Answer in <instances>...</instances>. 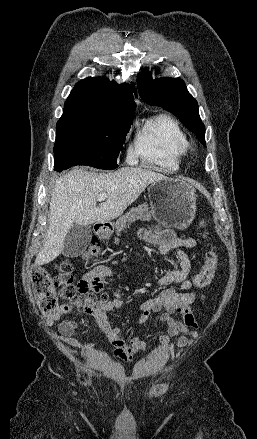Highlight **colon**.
<instances>
[{
    "instance_id": "1",
    "label": "colon",
    "mask_w": 257,
    "mask_h": 439,
    "mask_svg": "<svg viewBox=\"0 0 257 439\" xmlns=\"http://www.w3.org/2000/svg\"><path fill=\"white\" fill-rule=\"evenodd\" d=\"M100 254V242L93 239L85 251V258L93 259ZM217 268V254L210 249L205 254L202 269L193 274L198 288L207 286L213 279ZM58 274L51 276L44 268L36 267L32 271L33 288L38 298L39 308L43 315H53L58 307L59 300L75 306L79 311L93 313L108 301L105 292H93L74 283L72 264L61 261L56 265Z\"/></svg>"
}]
</instances>
